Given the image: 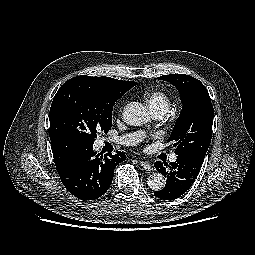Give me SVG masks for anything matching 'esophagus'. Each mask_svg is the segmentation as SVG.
I'll return each mask as SVG.
<instances>
[{
  "label": "esophagus",
  "mask_w": 255,
  "mask_h": 255,
  "mask_svg": "<svg viewBox=\"0 0 255 255\" xmlns=\"http://www.w3.org/2000/svg\"><path fill=\"white\" fill-rule=\"evenodd\" d=\"M139 164L141 167H143L146 170H149V171L153 170V167L151 166V164L149 162L140 161Z\"/></svg>",
  "instance_id": "esophagus-1"
}]
</instances>
